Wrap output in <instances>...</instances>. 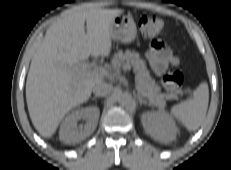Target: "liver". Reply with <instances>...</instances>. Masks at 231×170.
<instances>
[{"label": "liver", "mask_w": 231, "mask_h": 170, "mask_svg": "<svg viewBox=\"0 0 231 170\" xmlns=\"http://www.w3.org/2000/svg\"><path fill=\"white\" fill-rule=\"evenodd\" d=\"M121 9L67 10L46 31L30 65L26 101L31 121L39 134L50 138L73 107L86 102L101 77L81 70L92 56H108L111 26ZM86 22V32H85Z\"/></svg>", "instance_id": "1"}]
</instances>
